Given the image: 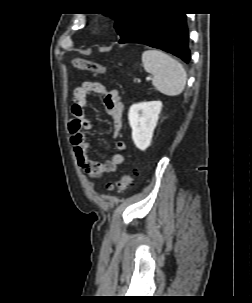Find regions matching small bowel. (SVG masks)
Wrapping results in <instances>:
<instances>
[{
  "label": "small bowel",
  "mask_w": 252,
  "mask_h": 303,
  "mask_svg": "<svg viewBox=\"0 0 252 303\" xmlns=\"http://www.w3.org/2000/svg\"><path fill=\"white\" fill-rule=\"evenodd\" d=\"M96 95L104 99L106 113L113 122V139L115 140L114 153L110 159L100 163L89 156L91 143L83 135L84 131H90L92 122L85 115V105L89 96ZM75 121L71 125V143L81 170L92 178H100L107 173L114 172L125 158L123 153L127 150V143L120 139L119 134L123 125V106L117 90H111L97 82H84L74 92L73 109Z\"/></svg>",
  "instance_id": "1"
}]
</instances>
